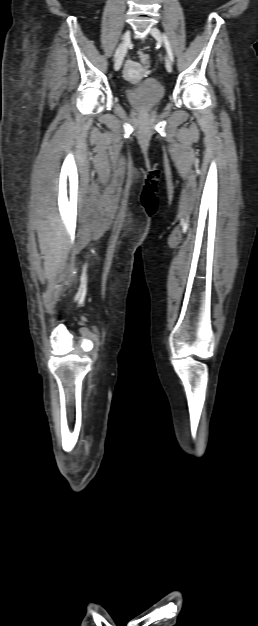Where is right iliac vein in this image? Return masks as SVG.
Masks as SVG:
<instances>
[{
    "label": "right iliac vein",
    "mask_w": 258,
    "mask_h": 626,
    "mask_svg": "<svg viewBox=\"0 0 258 626\" xmlns=\"http://www.w3.org/2000/svg\"><path fill=\"white\" fill-rule=\"evenodd\" d=\"M129 44H130V31H127V32H125V34L122 37V45H121L119 54H118L117 59H116L115 64H114V69L116 71H118L121 68V65H122L124 56H125V54L127 52V48L129 46Z\"/></svg>",
    "instance_id": "right-iliac-vein-1"
}]
</instances>
